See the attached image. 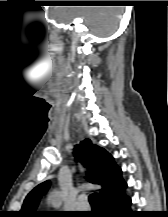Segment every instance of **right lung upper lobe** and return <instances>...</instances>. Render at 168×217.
Listing matches in <instances>:
<instances>
[{"mask_svg":"<svg viewBox=\"0 0 168 217\" xmlns=\"http://www.w3.org/2000/svg\"><path fill=\"white\" fill-rule=\"evenodd\" d=\"M75 157L88 167V181L102 186L98 195L100 203L122 191L127 185L122 179L121 169L113 157L103 148L85 139L74 148ZM50 187L47 180L36 186L25 198L20 217H42L45 213L36 211L40 198Z\"/></svg>","mask_w":168,"mask_h":217,"instance_id":"cb5924a9","label":"right lung upper lobe"}]
</instances>
